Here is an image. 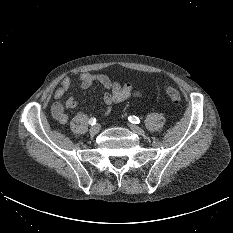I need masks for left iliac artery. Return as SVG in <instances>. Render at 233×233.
<instances>
[{"mask_svg": "<svg viewBox=\"0 0 233 233\" xmlns=\"http://www.w3.org/2000/svg\"><path fill=\"white\" fill-rule=\"evenodd\" d=\"M128 119L133 124H138L140 122L139 118L136 117V116H134V115L133 116H129Z\"/></svg>", "mask_w": 233, "mask_h": 233, "instance_id": "left-iliac-artery-1", "label": "left iliac artery"}]
</instances>
